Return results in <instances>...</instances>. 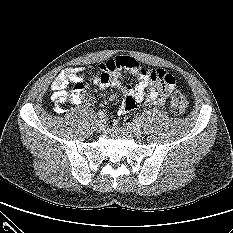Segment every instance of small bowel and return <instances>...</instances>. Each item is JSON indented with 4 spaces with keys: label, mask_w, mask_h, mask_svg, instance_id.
I'll use <instances>...</instances> for the list:
<instances>
[{
    "label": "small bowel",
    "mask_w": 233,
    "mask_h": 233,
    "mask_svg": "<svg viewBox=\"0 0 233 233\" xmlns=\"http://www.w3.org/2000/svg\"><path fill=\"white\" fill-rule=\"evenodd\" d=\"M145 69L147 74L141 70ZM84 68L70 67L62 70L51 85L52 100L58 109H62L66 102L65 88L69 83L81 85ZM135 77L138 82L132 87H121V81L127 76ZM95 83L101 88L113 86L119 90L121 102L119 114L137 109L142 104H164L176 86V79L172 74L162 69H148L128 56H119L101 63L95 70ZM89 101L84 93L81 98H72V102L79 104Z\"/></svg>",
    "instance_id": "1"
}]
</instances>
